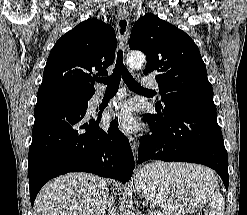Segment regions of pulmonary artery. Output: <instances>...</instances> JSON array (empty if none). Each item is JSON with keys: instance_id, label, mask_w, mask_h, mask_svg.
Segmentation results:
<instances>
[{"instance_id": "1", "label": "pulmonary artery", "mask_w": 247, "mask_h": 215, "mask_svg": "<svg viewBox=\"0 0 247 215\" xmlns=\"http://www.w3.org/2000/svg\"><path fill=\"white\" fill-rule=\"evenodd\" d=\"M142 84L146 88H150V89H156V88H158L157 82L153 78H151V77H144V78H142ZM100 97H101V94H97L95 96L96 99H100Z\"/></svg>"}]
</instances>
